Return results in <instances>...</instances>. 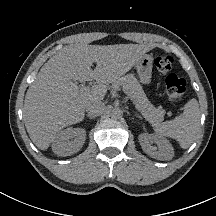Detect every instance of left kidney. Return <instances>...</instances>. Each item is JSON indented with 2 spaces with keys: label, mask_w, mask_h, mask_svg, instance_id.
I'll return each mask as SVG.
<instances>
[{
  "label": "left kidney",
  "mask_w": 216,
  "mask_h": 216,
  "mask_svg": "<svg viewBox=\"0 0 216 216\" xmlns=\"http://www.w3.org/2000/svg\"><path fill=\"white\" fill-rule=\"evenodd\" d=\"M139 142L143 151L158 160H170L174 155V150L170 142L161 135L142 133L139 135ZM155 143L158 147L153 146Z\"/></svg>",
  "instance_id": "5707ae66"
}]
</instances>
